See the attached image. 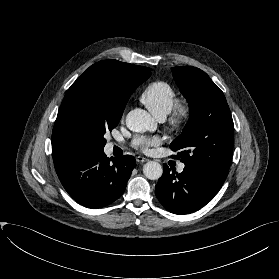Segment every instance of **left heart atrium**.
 Returning a JSON list of instances; mask_svg holds the SVG:
<instances>
[{"label": "left heart atrium", "mask_w": 279, "mask_h": 279, "mask_svg": "<svg viewBox=\"0 0 279 279\" xmlns=\"http://www.w3.org/2000/svg\"><path fill=\"white\" fill-rule=\"evenodd\" d=\"M160 143L157 137L137 136L133 141V146L143 152H149L154 146Z\"/></svg>", "instance_id": "left-heart-atrium-1"}]
</instances>
